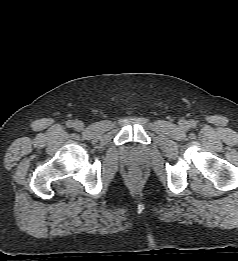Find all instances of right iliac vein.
Instances as JSON below:
<instances>
[{"label":"right iliac vein","mask_w":238,"mask_h":261,"mask_svg":"<svg viewBox=\"0 0 238 261\" xmlns=\"http://www.w3.org/2000/svg\"><path fill=\"white\" fill-rule=\"evenodd\" d=\"M73 127L75 130H82L84 128V123L82 121H75Z\"/></svg>","instance_id":"obj_1"}]
</instances>
